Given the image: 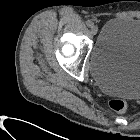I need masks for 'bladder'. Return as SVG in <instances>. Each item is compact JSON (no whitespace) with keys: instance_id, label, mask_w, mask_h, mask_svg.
Masks as SVG:
<instances>
[{"instance_id":"obj_1","label":"bladder","mask_w":140,"mask_h":140,"mask_svg":"<svg viewBox=\"0 0 140 140\" xmlns=\"http://www.w3.org/2000/svg\"><path fill=\"white\" fill-rule=\"evenodd\" d=\"M89 62L92 76L104 92L140 98V19L109 20L95 41Z\"/></svg>"}]
</instances>
